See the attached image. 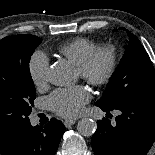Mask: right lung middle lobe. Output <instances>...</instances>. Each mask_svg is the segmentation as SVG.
<instances>
[{"instance_id": "right-lung-middle-lobe-1", "label": "right lung middle lobe", "mask_w": 155, "mask_h": 155, "mask_svg": "<svg viewBox=\"0 0 155 155\" xmlns=\"http://www.w3.org/2000/svg\"><path fill=\"white\" fill-rule=\"evenodd\" d=\"M41 41L28 34L0 40V140L30 124L36 93L29 62Z\"/></svg>"}]
</instances>
